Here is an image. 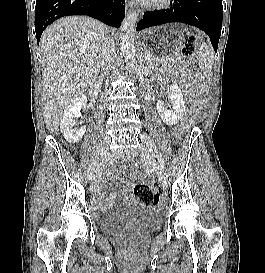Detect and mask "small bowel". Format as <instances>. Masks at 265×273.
<instances>
[{
  "label": "small bowel",
  "instance_id": "1",
  "mask_svg": "<svg viewBox=\"0 0 265 273\" xmlns=\"http://www.w3.org/2000/svg\"><path fill=\"white\" fill-rule=\"evenodd\" d=\"M126 192H127L126 190L122 191L123 194H125ZM95 205L98 208H102L104 206V201H103V198L100 194H98L95 198Z\"/></svg>",
  "mask_w": 265,
  "mask_h": 273
}]
</instances>
